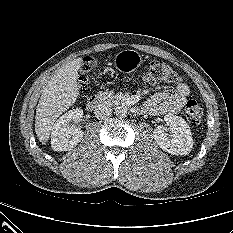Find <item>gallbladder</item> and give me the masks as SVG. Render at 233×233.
Returning a JSON list of instances; mask_svg holds the SVG:
<instances>
[{
    "label": "gallbladder",
    "instance_id": "bac80fb5",
    "mask_svg": "<svg viewBox=\"0 0 233 233\" xmlns=\"http://www.w3.org/2000/svg\"><path fill=\"white\" fill-rule=\"evenodd\" d=\"M92 64H93V66H96L97 63H96V61H94V62H92Z\"/></svg>",
    "mask_w": 233,
    "mask_h": 233
}]
</instances>
